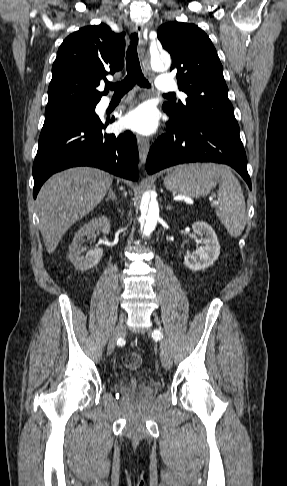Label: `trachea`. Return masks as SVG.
<instances>
[{
	"label": "trachea",
	"mask_w": 287,
	"mask_h": 486,
	"mask_svg": "<svg viewBox=\"0 0 287 486\" xmlns=\"http://www.w3.org/2000/svg\"><path fill=\"white\" fill-rule=\"evenodd\" d=\"M130 39H131L130 45L126 53L127 75L122 81L117 83H109L107 85L109 89L114 90L115 95L126 94L129 90H131L135 86V84L144 88L151 87L148 80L144 77L140 67V62L137 53V43H138L137 33H132L130 35ZM167 96H173V94L169 93L167 94Z\"/></svg>",
	"instance_id": "obj_1"
}]
</instances>
